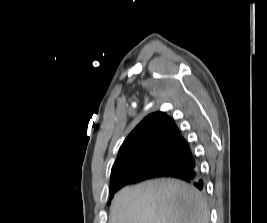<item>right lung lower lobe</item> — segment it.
I'll use <instances>...</instances> for the list:
<instances>
[{
  "label": "right lung lower lobe",
  "instance_id": "right-lung-lower-lobe-1",
  "mask_svg": "<svg viewBox=\"0 0 267 223\" xmlns=\"http://www.w3.org/2000/svg\"><path fill=\"white\" fill-rule=\"evenodd\" d=\"M155 177L177 178L193 184L200 190L203 189V181L200 178L196 157L189 148L186 154L166 172L158 173L151 170H135L112 178L110 184L111 194L114 195L117 190L127 184Z\"/></svg>",
  "mask_w": 267,
  "mask_h": 223
}]
</instances>
